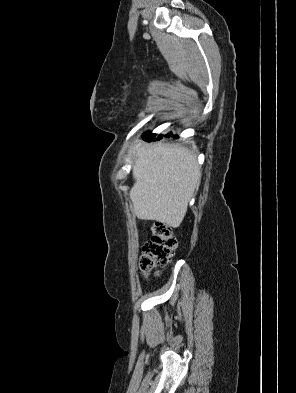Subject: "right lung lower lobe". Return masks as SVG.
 Returning <instances> with one entry per match:
<instances>
[{"mask_svg": "<svg viewBox=\"0 0 296 393\" xmlns=\"http://www.w3.org/2000/svg\"><path fill=\"white\" fill-rule=\"evenodd\" d=\"M155 136H156L155 134H151L150 132H148V133L144 134L142 136V138L145 141L149 142V141H158V140L162 139V137H163V135H159L157 138H155ZM170 136H172L173 138H177V136L173 135L172 133L165 135V137H170Z\"/></svg>", "mask_w": 296, "mask_h": 393, "instance_id": "1", "label": "right lung lower lobe"}]
</instances>
